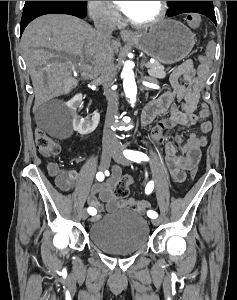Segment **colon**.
<instances>
[{
  "label": "colon",
  "mask_w": 237,
  "mask_h": 300,
  "mask_svg": "<svg viewBox=\"0 0 237 300\" xmlns=\"http://www.w3.org/2000/svg\"><path fill=\"white\" fill-rule=\"evenodd\" d=\"M188 24L193 28H198L203 25L202 17L197 13H189L187 16ZM216 52V44L210 42L207 53L199 57V62L204 67H210L213 62ZM36 146L38 151L44 156H55L60 152L59 144L48 136L43 130L39 129L36 132ZM197 175V167L194 166L190 169L191 178ZM132 179L129 176L122 178L114 188V196L117 199H124L129 194V186Z\"/></svg>",
  "instance_id": "obj_1"
}]
</instances>
